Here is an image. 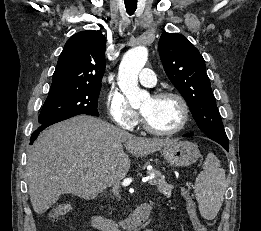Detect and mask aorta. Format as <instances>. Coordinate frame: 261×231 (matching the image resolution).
Segmentation results:
<instances>
[{"label":"aorta","mask_w":261,"mask_h":231,"mask_svg":"<svg viewBox=\"0 0 261 231\" xmlns=\"http://www.w3.org/2000/svg\"><path fill=\"white\" fill-rule=\"evenodd\" d=\"M148 51L135 47L124 55L118 72V85L132 107H137L149 98V93L138 86V74L146 64Z\"/></svg>","instance_id":"762f6f07"}]
</instances>
